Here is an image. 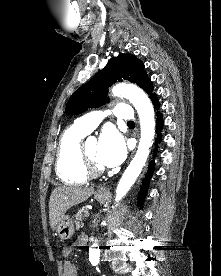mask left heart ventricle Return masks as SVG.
<instances>
[{
  "mask_svg": "<svg viewBox=\"0 0 221 276\" xmlns=\"http://www.w3.org/2000/svg\"><path fill=\"white\" fill-rule=\"evenodd\" d=\"M88 156L93 159L97 165L102 166L97 159L98 145L96 143H89L85 146Z\"/></svg>",
  "mask_w": 221,
  "mask_h": 276,
  "instance_id": "1",
  "label": "left heart ventricle"
}]
</instances>
